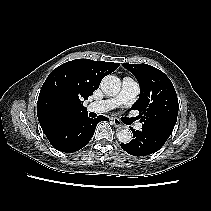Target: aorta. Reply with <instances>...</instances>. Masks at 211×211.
Returning a JSON list of instances; mask_svg holds the SVG:
<instances>
[{
  "mask_svg": "<svg viewBox=\"0 0 211 211\" xmlns=\"http://www.w3.org/2000/svg\"><path fill=\"white\" fill-rule=\"evenodd\" d=\"M101 89L105 95L115 96L121 88V81L114 75H107L101 81ZM117 139L120 143L127 144L132 140V132L129 129H121L117 133Z\"/></svg>",
  "mask_w": 211,
  "mask_h": 211,
  "instance_id": "762f6f07",
  "label": "aorta"
}]
</instances>
